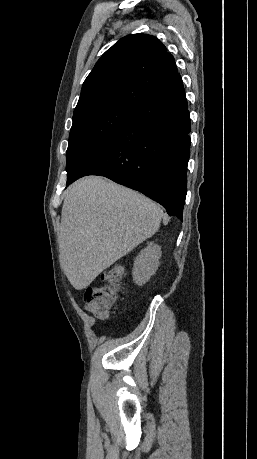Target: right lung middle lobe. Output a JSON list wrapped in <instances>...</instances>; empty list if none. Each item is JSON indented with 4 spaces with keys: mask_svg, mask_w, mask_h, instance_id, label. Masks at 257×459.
Masks as SVG:
<instances>
[{
    "mask_svg": "<svg viewBox=\"0 0 257 459\" xmlns=\"http://www.w3.org/2000/svg\"><path fill=\"white\" fill-rule=\"evenodd\" d=\"M135 110L125 106H108L74 118L66 154L67 178L106 146Z\"/></svg>",
    "mask_w": 257,
    "mask_h": 459,
    "instance_id": "dd1d6c3e",
    "label": "right lung middle lobe"
}]
</instances>
